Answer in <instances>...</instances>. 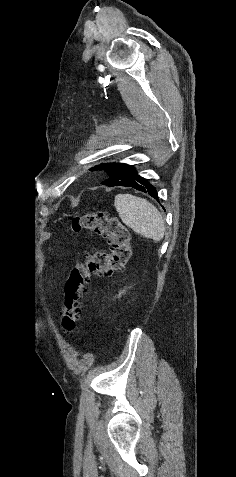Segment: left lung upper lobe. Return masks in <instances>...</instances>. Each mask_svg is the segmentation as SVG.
I'll return each mask as SVG.
<instances>
[{
  "instance_id": "5c2ea615",
  "label": "left lung upper lobe",
  "mask_w": 236,
  "mask_h": 477,
  "mask_svg": "<svg viewBox=\"0 0 236 477\" xmlns=\"http://www.w3.org/2000/svg\"><path fill=\"white\" fill-rule=\"evenodd\" d=\"M91 170H104L108 174L109 178L103 181L102 184L113 187L126 181L133 172L134 168L133 166L125 163H110L96 166Z\"/></svg>"
}]
</instances>
